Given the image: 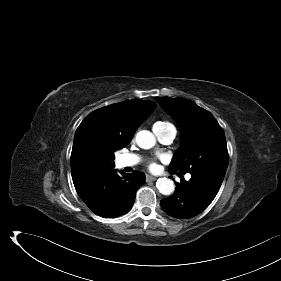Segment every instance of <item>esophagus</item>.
Wrapping results in <instances>:
<instances>
[{
	"label": "esophagus",
	"mask_w": 281,
	"mask_h": 281,
	"mask_svg": "<svg viewBox=\"0 0 281 281\" xmlns=\"http://www.w3.org/2000/svg\"><path fill=\"white\" fill-rule=\"evenodd\" d=\"M157 178L154 177V176H150V175H147L146 176V181H155Z\"/></svg>",
	"instance_id": "esophagus-1"
}]
</instances>
